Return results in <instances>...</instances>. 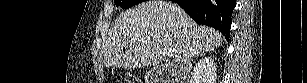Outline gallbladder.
<instances>
[{"instance_id":"obj_1","label":"gallbladder","mask_w":307,"mask_h":83,"mask_svg":"<svg viewBox=\"0 0 307 83\" xmlns=\"http://www.w3.org/2000/svg\"><path fill=\"white\" fill-rule=\"evenodd\" d=\"M156 75H157L156 70H150L146 73V78H148L149 81L154 80Z\"/></svg>"}]
</instances>
